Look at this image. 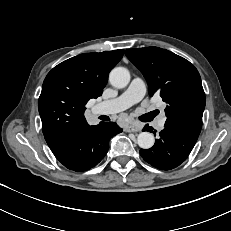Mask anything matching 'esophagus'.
Returning a JSON list of instances; mask_svg holds the SVG:
<instances>
[{
  "label": "esophagus",
  "mask_w": 231,
  "mask_h": 231,
  "mask_svg": "<svg viewBox=\"0 0 231 231\" xmlns=\"http://www.w3.org/2000/svg\"><path fill=\"white\" fill-rule=\"evenodd\" d=\"M126 131L127 132H139V131H141V126L131 124V125L127 126Z\"/></svg>",
  "instance_id": "1"
}]
</instances>
